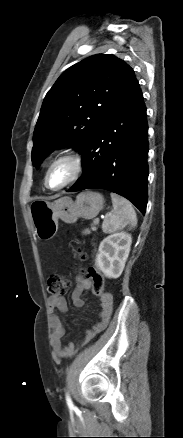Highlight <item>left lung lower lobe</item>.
<instances>
[{
    "label": "left lung lower lobe",
    "instance_id": "left-lung-lower-lobe-1",
    "mask_svg": "<svg viewBox=\"0 0 183 438\" xmlns=\"http://www.w3.org/2000/svg\"><path fill=\"white\" fill-rule=\"evenodd\" d=\"M148 125L138 81L83 149V175L69 192L99 188L131 201L143 214L148 190Z\"/></svg>",
    "mask_w": 183,
    "mask_h": 438
}]
</instances>
